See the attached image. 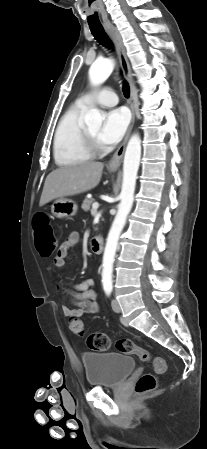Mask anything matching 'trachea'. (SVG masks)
Returning a JSON list of instances; mask_svg holds the SVG:
<instances>
[{
  "label": "trachea",
  "instance_id": "1",
  "mask_svg": "<svg viewBox=\"0 0 207 449\" xmlns=\"http://www.w3.org/2000/svg\"><path fill=\"white\" fill-rule=\"evenodd\" d=\"M91 33L95 37V39L102 45H104L107 48H113L112 42L109 39L108 35L106 34L104 28L102 25L100 26H90ZM123 94L125 97H129L130 95V87L127 82H124L123 84Z\"/></svg>",
  "mask_w": 207,
  "mask_h": 449
}]
</instances>
